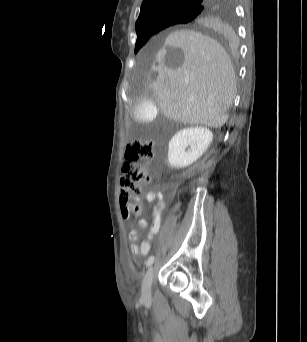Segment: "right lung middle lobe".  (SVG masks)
<instances>
[{
	"label": "right lung middle lobe",
	"mask_w": 307,
	"mask_h": 342,
	"mask_svg": "<svg viewBox=\"0 0 307 342\" xmlns=\"http://www.w3.org/2000/svg\"><path fill=\"white\" fill-rule=\"evenodd\" d=\"M199 12L200 11L196 9H184L165 14L157 26L137 32L135 53H137L154 34L175 24H185L197 17Z\"/></svg>",
	"instance_id": "dd1d6c3e"
}]
</instances>
